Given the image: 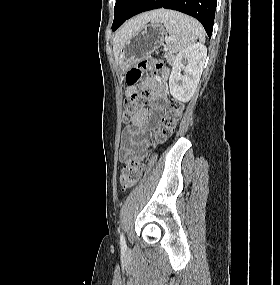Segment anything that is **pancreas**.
Returning a JSON list of instances; mask_svg holds the SVG:
<instances>
[{
	"label": "pancreas",
	"mask_w": 280,
	"mask_h": 285,
	"mask_svg": "<svg viewBox=\"0 0 280 285\" xmlns=\"http://www.w3.org/2000/svg\"><path fill=\"white\" fill-rule=\"evenodd\" d=\"M164 57L166 58V60L169 64H171L173 62V57L170 53H165Z\"/></svg>",
	"instance_id": "pancreas-1"
}]
</instances>
